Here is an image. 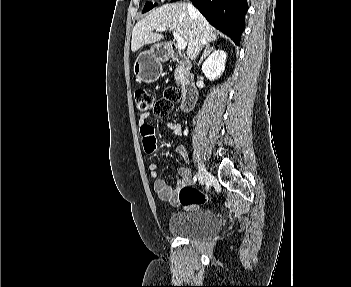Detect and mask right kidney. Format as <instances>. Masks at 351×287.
Returning <instances> with one entry per match:
<instances>
[{"instance_id": "obj_1", "label": "right kidney", "mask_w": 351, "mask_h": 287, "mask_svg": "<svg viewBox=\"0 0 351 287\" xmlns=\"http://www.w3.org/2000/svg\"><path fill=\"white\" fill-rule=\"evenodd\" d=\"M227 54L223 50L214 51L203 63L202 72L210 81L221 76L225 69Z\"/></svg>"}]
</instances>
